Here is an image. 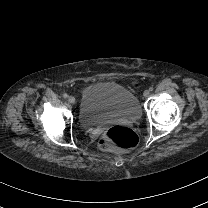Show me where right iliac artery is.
I'll return each mask as SVG.
<instances>
[{
	"label": "right iliac artery",
	"instance_id": "1",
	"mask_svg": "<svg viewBox=\"0 0 208 208\" xmlns=\"http://www.w3.org/2000/svg\"><path fill=\"white\" fill-rule=\"evenodd\" d=\"M63 97H64V98H68V94H67V93H64V94H63Z\"/></svg>",
	"mask_w": 208,
	"mask_h": 208
}]
</instances>
